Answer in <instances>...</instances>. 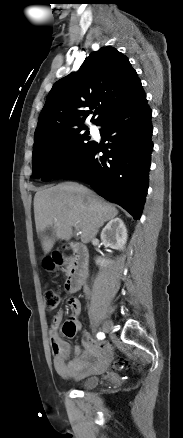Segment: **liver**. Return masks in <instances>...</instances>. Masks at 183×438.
I'll list each match as a JSON object with an SVG mask.
<instances>
[{
    "label": "liver",
    "mask_w": 183,
    "mask_h": 438,
    "mask_svg": "<svg viewBox=\"0 0 183 438\" xmlns=\"http://www.w3.org/2000/svg\"><path fill=\"white\" fill-rule=\"evenodd\" d=\"M35 224L38 232L51 227L60 240H70L73 227L80 230L81 241L90 242L106 221L116 217L118 210L87 187L66 182L41 189L34 197ZM54 240L42 239V248L48 253Z\"/></svg>",
    "instance_id": "liver-1"
}]
</instances>
